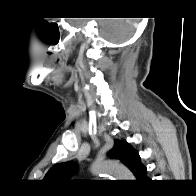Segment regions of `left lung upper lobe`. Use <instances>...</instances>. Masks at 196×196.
<instances>
[{"instance_id":"left-lung-upper-lobe-1","label":"left lung upper lobe","mask_w":196,"mask_h":196,"mask_svg":"<svg viewBox=\"0 0 196 196\" xmlns=\"http://www.w3.org/2000/svg\"><path fill=\"white\" fill-rule=\"evenodd\" d=\"M108 156L123 162L132 172L137 164L138 152L134 150L126 141L115 140L113 148L109 151ZM76 164L65 162L56 164L45 175L47 182L63 181L76 172Z\"/></svg>"}]
</instances>
